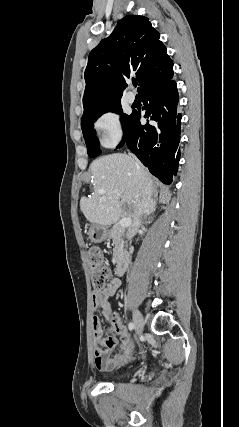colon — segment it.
Wrapping results in <instances>:
<instances>
[{
  "label": "colon",
  "mask_w": 239,
  "mask_h": 427,
  "mask_svg": "<svg viewBox=\"0 0 239 427\" xmlns=\"http://www.w3.org/2000/svg\"><path fill=\"white\" fill-rule=\"evenodd\" d=\"M87 261L93 287L95 289L103 288L111 276V270L104 262L101 249L96 246L89 247L87 249Z\"/></svg>",
  "instance_id": "5ec220e1"
}]
</instances>
